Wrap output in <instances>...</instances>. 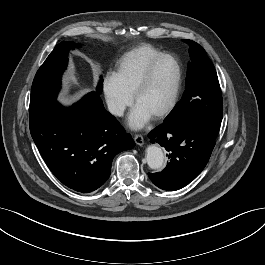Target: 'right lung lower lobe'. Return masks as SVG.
Instances as JSON below:
<instances>
[{
  "mask_svg": "<svg viewBox=\"0 0 265 265\" xmlns=\"http://www.w3.org/2000/svg\"><path fill=\"white\" fill-rule=\"evenodd\" d=\"M30 132L51 172L65 186L89 193L110 176L113 158L135 145L97 92L66 108L53 104L30 121Z\"/></svg>",
  "mask_w": 265,
  "mask_h": 265,
  "instance_id": "right-lung-lower-lobe-1",
  "label": "right lung lower lobe"
}]
</instances>
